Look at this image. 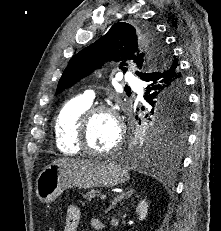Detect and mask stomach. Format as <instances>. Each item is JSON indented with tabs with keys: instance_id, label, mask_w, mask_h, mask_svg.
I'll return each mask as SVG.
<instances>
[{
	"instance_id": "0dacf381",
	"label": "stomach",
	"mask_w": 221,
	"mask_h": 231,
	"mask_svg": "<svg viewBox=\"0 0 221 231\" xmlns=\"http://www.w3.org/2000/svg\"><path fill=\"white\" fill-rule=\"evenodd\" d=\"M128 180L127 171L115 160H78L51 164L36 180V196L42 203L54 201L65 189L115 187Z\"/></svg>"
}]
</instances>
